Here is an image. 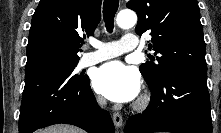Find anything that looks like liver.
I'll return each instance as SVG.
<instances>
[{"instance_id":"6515ba94","label":"liver","mask_w":221,"mask_h":133,"mask_svg":"<svg viewBox=\"0 0 221 133\" xmlns=\"http://www.w3.org/2000/svg\"><path fill=\"white\" fill-rule=\"evenodd\" d=\"M39 133H84L81 129H77L70 125H54L51 127H48L44 130H40Z\"/></svg>"}]
</instances>
